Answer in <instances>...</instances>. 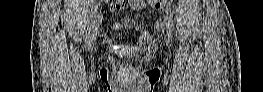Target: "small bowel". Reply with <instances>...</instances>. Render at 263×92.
Segmentation results:
<instances>
[{"instance_id": "c3829d8e", "label": "small bowel", "mask_w": 263, "mask_h": 92, "mask_svg": "<svg viewBox=\"0 0 263 92\" xmlns=\"http://www.w3.org/2000/svg\"><path fill=\"white\" fill-rule=\"evenodd\" d=\"M134 3H135L136 8H140L143 5V1H135ZM120 4H122V3H120Z\"/></svg>"}]
</instances>
